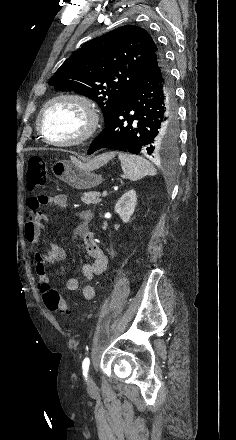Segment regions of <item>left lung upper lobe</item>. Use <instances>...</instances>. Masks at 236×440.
<instances>
[{
    "instance_id": "1",
    "label": "left lung upper lobe",
    "mask_w": 236,
    "mask_h": 440,
    "mask_svg": "<svg viewBox=\"0 0 236 440\" xmlns=\"http://www.w3.org/2000/svg\"><path fill=\"white\" fill-rule=\"evenodd\" d=\"M157 55L163 54L145 29L125 25L84 43L60 66L49 85L93 99L106 124Z\"/></svg>"
}]
</instances>
